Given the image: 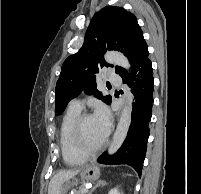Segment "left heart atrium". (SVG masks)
Masks as SVG:
<instances>
[{"label": "left heart atrium", "instance_id": "39dd6f15", "mask_svg": "<svg viewBox=\"0 0 201 194\" xmlns=\"http://www.w3.org/2000/svg\"><path fill=\"white\" fill-rule=\"evenodd\" d=\"M99 133L105 139L110 131L111 119L107 108L103 105L97 106L92 116Z\"/></svg>", "mask_w": 201, "mask_h": 194}]
</instances>
